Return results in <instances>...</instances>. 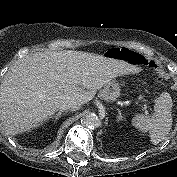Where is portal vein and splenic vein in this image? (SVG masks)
Returning a JSON list of instances; mask_svg holds the SVG:
<instances>
[{
    "instance_id": "obj_1",
    "label": "portal vein and splenic vein",
    "mask_w": 177,
    "mask_h": 177,
    "mask_svg": "<svg viewBox=\"0 0 177 177\" xmlns=\"http://www.w3.org/2000/svg\"><path fill=\"white\" fill-rule=\"evenodd\" d=\"M141 108H142V110L145 112L146 115L149 114V112H148V110H147V105H146V104H144Z\"/></svg>"
}]
</instances>
